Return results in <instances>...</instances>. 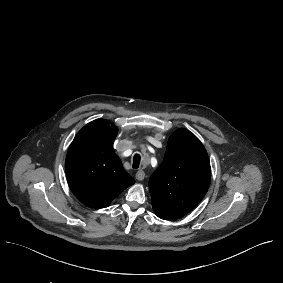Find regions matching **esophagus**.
Returning a JSON list of instances; mask_svg holds the SVG:
<instances>
[{
    "instance_id": "obj_1",
    "label": "esophagus",
    "mask_w": 283,
    "mask_h": 283,
    "mask_svg": "<svg viewBox=\"0 0 283 283\" xmlns=\"http://www.w3.org/2000/svg\"><path fill=\"white\" fill-rule=\"evenodd\" d=\"M137 180L142 181L145 178V172L143 170L137 171L135 174Z\"/></svg>"
}]
</instances>
